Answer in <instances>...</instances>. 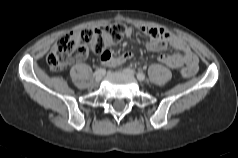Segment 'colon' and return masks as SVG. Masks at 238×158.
<instances>
[{
	"label": "colon",
	"mask_w": 238,
	"mask_h": 158,
	"mask_svg": "<svg viewBox=\"0 0 238 158\" xmlns=\"http://www.w3.org/2000/svg\"><path fill=\"white\" fill-rule=\"evenodd\" d=\"M127 33V27L121 24L66 33L52 47L47 63L52 71H61L71 61L84 58L90 51L102 54L109 45L119 42ZM196 72V66H184L181 69L184 78H190Z\"/></svg>",
	"instance_id": "5ec220e1"
}]
</instances>
